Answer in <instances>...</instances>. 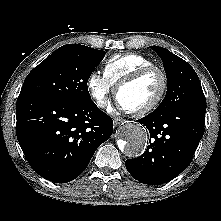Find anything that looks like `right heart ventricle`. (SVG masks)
I'll use <instances>...</instances> for the list:
<instances>
[{
	"label": "right heart ventricle",
	"instance_id": "obj_1",
	"mask_svg": "<svg viewBox=\"0 0 221 221\" xmlns=\"http://www.w3.org/2000/svg\"><path fill=\"white\" fill-rule=\"evenodd\" d=\"M154 65V62L138 53L117 54L110 57L104 65V76L112 86H116L122 79L136 70Z\"/></svg>",
	"mask_w": 221,
	"mask_h": 221
}]
</instances>
